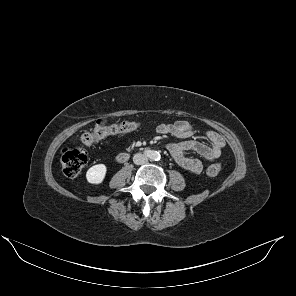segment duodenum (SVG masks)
I'll return each mask as SVG.
<instances>
[{"mask_svg":"<svg viewBox=\"0 0 296 296\" xmlns=\"http://www.w3.org/2000/svg\"><path fill=\"white\" fill-rule=\"evenodd\" d=\"M127 159H128V155L125 154V153L119 154V155L116 157V161H117V163H124L125 161H127Z\"/></svg>","mask_w":296,"mask_h":296,"instance_id":"410a0bca","label":"duodenum"}]
</instances>
